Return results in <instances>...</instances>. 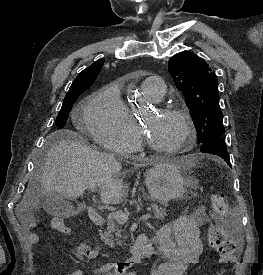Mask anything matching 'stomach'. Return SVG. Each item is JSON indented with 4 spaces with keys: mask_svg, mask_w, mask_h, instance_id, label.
Masks as SVG:
<instances>
[{
    "mask_svg": "<svg viewBox=\"0 0 263 275\" xmlns=\"http://www.w3.org/2000/svg\"><path fill=\"white\" fill-rule=\"evenodd\" d=\"M145 183L152 198L162 203L183 198L187 192L182 169L173 162L155 164L146 172Z\"/></svg>",
    "mask_w": 263,
    "mask_h": 275,
    "instance_id": "obj_1",
    "label": "stomach"
}]
</instances>
